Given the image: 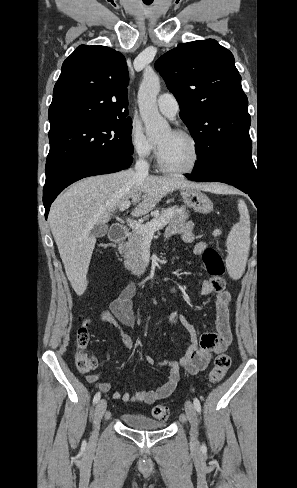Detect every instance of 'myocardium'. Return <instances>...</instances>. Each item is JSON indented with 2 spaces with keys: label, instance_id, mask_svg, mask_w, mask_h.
Listing matches in <instances>:
<instances>
[{
  "label": "myocardium",
  "instance_id": "f54148a6",
  "mask_svg": "<svg viewBox=\"0 0 297 488\" xmlns=\"http://www.w3.org/2000/svg\"><path fill=\"white\" fill-rule=\"evenodd\" d=\"M172 132L175 135L186 138L191 143L193 150H194L193 161L187 168H184V169L171 168V167L167 166L164 163V161L162 160L159 146H157V151H156L157 164H158L159 168L165 173L176 174V175L190 174L197 169V167L199 166L200 160H201V149H200L199 143H198L197 139L188 131H185L182 129H175V130H172Z\"/></svg>",
  "mask_w": 297,
  "mask_h": 488
}]
</instances>
